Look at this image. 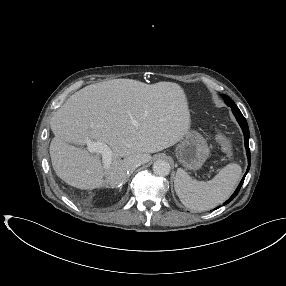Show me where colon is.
<instances>
[{
  "mask_svg": "<svg viewBox=\"0 0 286 286\" xmlns=\"http://www.w3.org/2000/svg\"><path fill=\"white\" fill-rule=\"evenodd\" d=\"M217 141L222 149V151L227 155L230 156L232 154V144L230 142V140L228 139V137L223 134L220 133L217 135Z\"/></svg>",
  "mask_w": 286,
  "mask_h": 286,
  "instance_id": "5ec220e1",
  "label": "colon"
}]
</instances>
